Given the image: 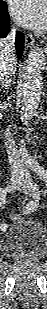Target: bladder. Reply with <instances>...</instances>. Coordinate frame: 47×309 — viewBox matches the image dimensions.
<instances>
[{
    "instance_id": "31cf9c89",
    "label": "bladder",
    "mask_w": 47,
    "mask_h": 309,
    "mask_svg": "<svg viewBox=\"0 0 47 309\" xmlns=\"http://www.w3.org/2000/svg\"><path fill=\"white\" fill-rule=\"evenodd\" d=\"M47 229L35 220L20 218L2 235L1 252L10 258H33L44 255Z\"/></svg>"
}]
</instances>
